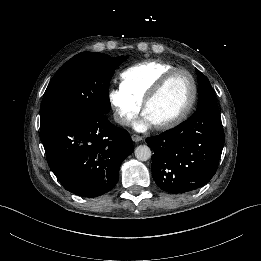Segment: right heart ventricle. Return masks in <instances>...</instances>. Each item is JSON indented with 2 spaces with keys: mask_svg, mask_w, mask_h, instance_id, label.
Wrapping results in <instances>:
<instances>
[{
  "mask_svg": "<svg viewBox=\"0 0 261 261\" xmlns=\"http://www.w3.org/2000/svg\"><path fill=\"white\" fill-rule=\"evenodd\" d=\"M172 64L160 60L137 63L120 74L121 88L139 103H142L153 85L168 71L175 69Z\"/></svg>",
  "mask_w": 261,
  "mask_h": 261,
  "instance_id": "1",
  "label": "right heart ventricle"
}]
</instances>
